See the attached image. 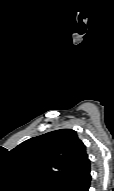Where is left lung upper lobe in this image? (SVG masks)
<instances>
[{
  "mask_svg": "<svg viewBox=\"0 0 114 191\" xmlns=\"http://www.w3.org/2000/svg\"><path fill=\"white\" fill-rule=\"evenodd\" d=\"M11 153L28 176L50 191H63L89 162L85 145L71 129L30 138Z\"/></svg>",
  "mask_w": 114,
  "mask_h": 191,
  "instance_id": "left-lung-upper-lobe-1",
  "label": "left lung upper lobe"
}]
</instances>
